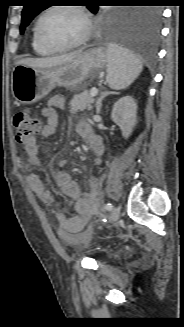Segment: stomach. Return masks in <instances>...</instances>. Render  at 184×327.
I'll return each instance as SVG.
<instances>
[{
	"mask_svg": "<svg viewBox=\"0 0 184 327\" xmlns=\"http://www.w3.org/2000/svg\"><path fill=\"white\" fill-rule=\"evenodd\" d=\"M106 52L107 49L99 45L48 69L18 64L12 72V94L18 103L28 105L48 95L56 85L79 89L86 80L96 77L103 70L107 62Z\"/></svg>",
	"mask_w": 184,
	"mask_h": 327,
	"instance_id": "stomach-1",
	"label": "stomach"
}]
</instances>
